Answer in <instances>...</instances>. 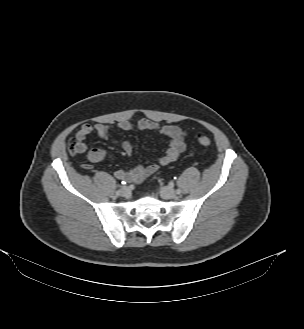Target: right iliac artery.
<instances>
[{
	"label": "right iliac artery",
	"mask_w": 304,
	"mask_h": 329,
	"mask_svg": "<svg viewBox=\"0 0 304 329\" xmlns=\"http://www.w3.org/2000/svg\"><path fill=\"white\" fill-rule=\"evenodd\" d=\"M121 189L116 191V195H120Z\"/></svg>",
	"instance_id": "1"
}]
</instances>
